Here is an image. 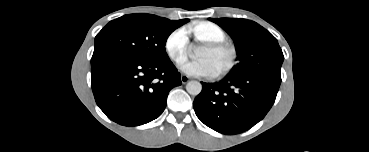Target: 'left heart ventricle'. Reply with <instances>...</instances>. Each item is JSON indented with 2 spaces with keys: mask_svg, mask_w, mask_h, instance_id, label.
<instances>
[{
  "mask_svg": "<svg viewBox=\"0 0 369 152\" xmlns=\"http://www.w3.org/2000/svg\"><path fill=\"white\" fill-rule=\"evenodd\" d=\"M200 57L210 59L214 63L217 71L220 70L228 60V55L226 53L213 51L208 46L203 49Z\"/></svg>",
  "mask_w": 369,
  "mask_h": 152,
  "instance_id": "b2bd125f",
  "label": "left heart ventricle"
}]
</instances>
